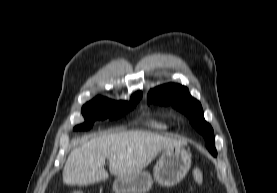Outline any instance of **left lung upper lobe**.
I'll use <instances>...</instances> for the list:
<instances>
[{"mask_svg":"<svg viewBox=\"0 0 277 193\" xmlns=\"http://www.w3.org/2000/svg\"><path fill=\"white\" fill-rule=\"evenodd\" d=\"M148 104L172 105L188 116L190 123L205 138V144L213 156H217L214 144V132L204 119L203 109L199 101L193 98L188 89L182 85L169 83L150 90Z\"/></svg>","mask_w":277,"mask_h":193,"instance_id":"5c2ea615","label":"left lung upper lobe"}]
</instances>
